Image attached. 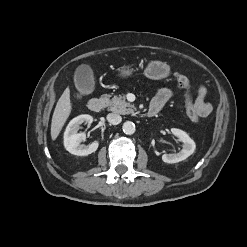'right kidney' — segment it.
Returning <instances> with one entry per match:
<instances>
[{"label":"right kidney","instance_id":"obj_1","mask_svg":"<svg viewBox=\"0 0 247 247\" xmlns=\"http://www.w3.org/2000/svg\"><path fill=\"white\" fill-rule=\"evenodd\" d=\"M92 122L93 117L88 114L79 115L70 121L64 133V146L68 152L77 156H87L97 150L98 141L85 146L81 144L85 140V134L78 133L82 123L91 125Z\"/></svg>","mask_w":247,"mask_h":247}]
</instances>
